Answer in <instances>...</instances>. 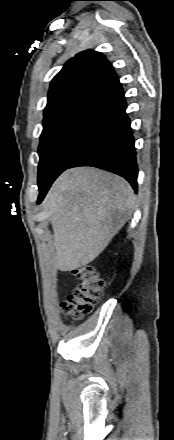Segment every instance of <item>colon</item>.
<instances>
[{
    "label": "colon",
    "instance_id": "1",
    "mask_svg": "<svg viewBox=\"0 0 174 440\" xmlns=\"http://www.w3.org/2000/svg\"><path fill=\"white\" fill-rule=\"evenodd\" d=\"M72 273L79 280V284L62 303V308L73 321L79 322L84 315L92 311L94 303L101 297L104 281L98 271L90 265L77 267Z\"/></svg>",
    "mask_w": 174,
    "mask_h": 440
}]
</instances>
